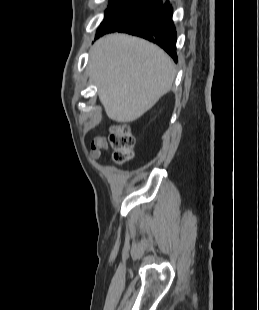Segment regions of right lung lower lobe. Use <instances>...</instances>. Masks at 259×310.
I'll return each mask as SVG.
<instances>
[{
	"label": "right lung lower lobe",
	"mask_w": 259,
	"mask_h": 310,
	"mask_svg": "<svg viewBox=\"0 0 259 310\" xmlns=\"http://www.w3.org/2000/svg\"><path fill=\"white\" fill-rule=\"evenodd\" d=\"M172 12V6L168 2L163 5V2L159 1L155 7L113 32L132 34L156 43L177 62L176 30Z\"/></svg>",
	"instance_id": "right-lung-lower-lobe-1"
}]
</instances>
